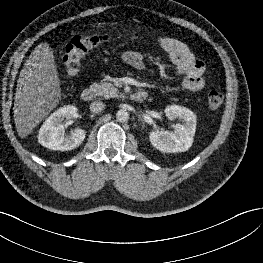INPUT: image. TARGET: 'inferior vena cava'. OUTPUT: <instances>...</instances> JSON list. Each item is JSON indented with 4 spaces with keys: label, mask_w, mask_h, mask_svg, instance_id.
<instances>
[{
    "label": "inferior vena cava",
    "mask_w": 263,
    "mask_h": 263,
    "mask_svg": "<svg viewBox=\"0 0 263 263\" xmlns=\"http://www.w3.org/2000/svg\"><path fill=\"white\" fill-rule=\"evenodd\" d=\"M105 109V104L101 101H94L90 104V111L93 113H100Z\"/></svg>",
    "instance_id": "1"
}]
</instances>
